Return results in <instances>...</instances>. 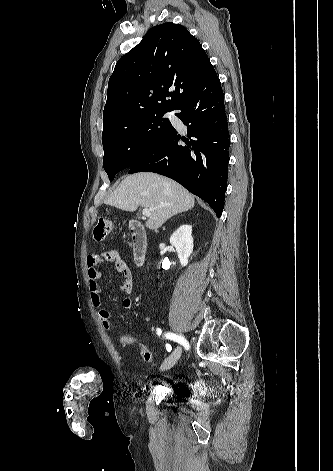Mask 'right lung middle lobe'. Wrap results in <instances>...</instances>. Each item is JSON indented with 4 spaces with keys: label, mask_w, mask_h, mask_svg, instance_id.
<instances>
[{
    "label": "right lung middle lobe",
    "mask_w": 333,
    "mask_h": 471,
    "mask_svg": "<svg viewBox=\"0 0 333 471\" xmlns=\"http://www.w3.org/2000/svg\"><path fill=\"white\" fill-rule=\"evenodd\" d=\"M168 111L152 109L111 124L102 132L103 167L112 181L115 175L130 168L171 129L163 118Z\"/></svg>",
    "instance_id": "obj_1"
}]
</instances>
